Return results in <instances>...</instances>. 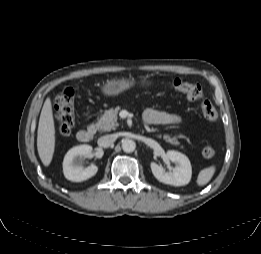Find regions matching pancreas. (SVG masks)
<instances>
[{
	"label": "pancreas",
	"instance_id": "obj_1",
	"mask_svg": "<svg viewBox=\"0 0 261 254\" xmlns=\"http://www.w3.org/2000/svg\"><path fill=\"white\" fill-rule=\"evenodd\" d=\"M119 109L120 107H116L115 109L105 111L102 117L95 124V128L99 131H110L116 129L119 125L117 122V114ZM157 137H161V135H158ZM163 138L166 142H169L172 145L180 144L177 137H172L169 134H165ZM181 148H183V146H181Z\"/></svg>",
	"mask_w": 261,
	"mask_h": 254
}]
</instances>
